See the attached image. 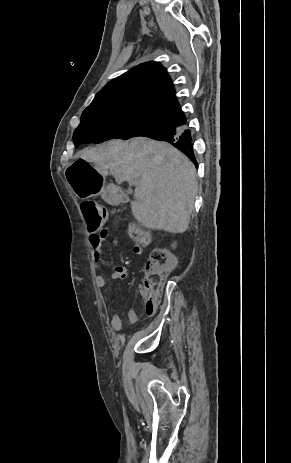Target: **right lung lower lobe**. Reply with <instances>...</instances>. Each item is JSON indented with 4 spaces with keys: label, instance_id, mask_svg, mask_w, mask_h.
Returning <instances> with one entry per match:
<instances>
[{
    "label": "right lung lower lobe",
    "instance_id": "98d812e1",
    "mask_svg": "<svg viewBox=\"0 0 291 463\" xmlns=\"http://www.w3.org/2000/svg\"><path fill=\"white\" fill-rule=\"evenodd\" d=\"M166 121L169 124L167 127L145 135V137L159 141H166L172 144L174 147L186 154L197 167L190 130L187 129L185 124L181 125L175 120Z\"/></svg>",
    "mask_w": 291,
    "mask_h": 463
}]
</instances>
